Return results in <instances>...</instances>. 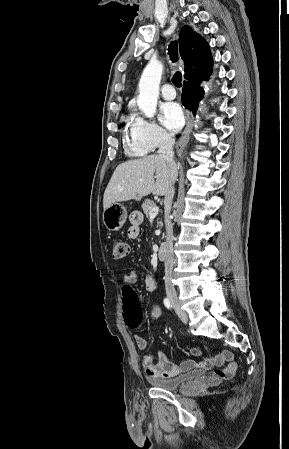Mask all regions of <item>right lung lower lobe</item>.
<instances>
[{
	"label": "right lung lower lobe",
	"mask_w": 289,
	"mask_h": 449,
	"mask_svg": "<svg viewBox=\"0 0 289 449\" xmlns=\"http://www.w3.org/2000/svg\"><path fill=\"white\" fill-rule=\"evenodd\" d=\"M212 67L204 74V76L200 78H191L186 81H184L183 84V94L181 97L182 103L185 106V108H188L193 112V114H196V111L198 109V104L201 101V99L204 96V90L202 87H200V83L202 80H208L209 76L212 73Z\"/></svg>",
	"instance_id": "obj_1"
}]
</instances>
